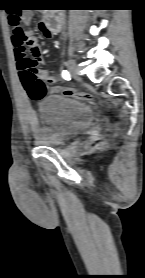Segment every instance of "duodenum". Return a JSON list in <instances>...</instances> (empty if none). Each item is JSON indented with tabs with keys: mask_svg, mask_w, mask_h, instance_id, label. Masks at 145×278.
Masks as SVG:
<instances>
[{
	"mask_svg": "<svg viewBox=\"0 0 145 278\" xmlns=\"http://www.w3.org/2000/svg\"><path fill=\"white\" fill-rule=\"evenodd\" d=\"M43 24L52 33H58L61 29V19L55 15L47 14L43 19Z\"/></svg>",
	"mask_w": 145,
	"mask_h": 278,
	"instance_id": "obj_1",
	"label": "duodenum"
}]
</instances>
